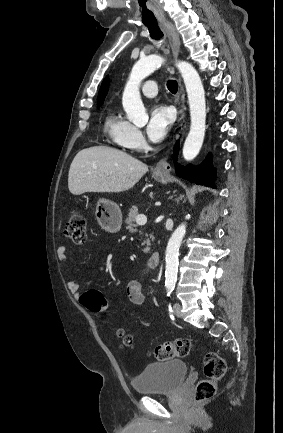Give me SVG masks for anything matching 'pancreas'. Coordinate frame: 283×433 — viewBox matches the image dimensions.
Segmentation results:
<instances>
[{
	"label": "pancreas",
	"instance_id": "pancreas-1",
	"mask_svg": "<svg viewBox=\"0 0 283 433\" xmlns=\"http://www.w3.org/2000/svg\"><path fill=\"white\" fill-rule=\"evenodd\" d=\"M138 214V208L137 206H132V208H129V212H128V217L125 221L126 225H128L127 229H129L130 233H135L136 229H134V227H137V225H134L135 221H136V217ZM150 239H154V237H150ZM146 245H148V247H146V249H144V253H150V241L149 239H147V241H145Z\"/></svg>",
	"mask_w": 283,
	"mask_h": 433
}]
</instances>
